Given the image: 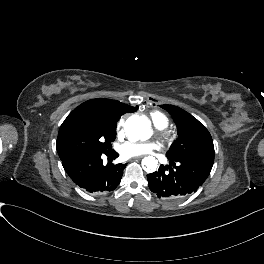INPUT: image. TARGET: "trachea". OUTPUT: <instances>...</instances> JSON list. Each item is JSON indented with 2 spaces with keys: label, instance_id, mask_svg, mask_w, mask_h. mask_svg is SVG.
<instances>
[{
  "label": "trachea",
  "instance_id": "1",
  "mask_svg": "<svg viewBox=\"0 0 264 264\" xmlns=\"http://www.w3.org/2000/svg\"><path fill=\"white\" fill-rule=\"evenodd\" d=\"M113 156L116 158L118 157V154L116 152H113Z\"/></svg>",
  "mask_w": 264,
  "mask_h": 264
}]
</instances>
